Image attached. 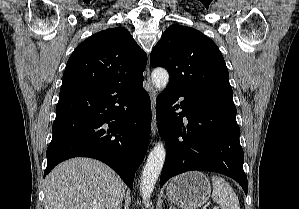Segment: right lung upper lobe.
Wrapping results in <instances>:
<instances>
[{
  "instance_id": "cb5924a9",
  "label": "right lung upper lobe",
  "mask_w": 299,
  "mask_h": 209,
  "mask_svg": "<svg viewBox=\"0 0 299 209\" xmlns=\"http://www.w3.org/2000/svg\"><path fill=\"white\" fill-rule=\"evenodd\" d=\"M146 63V53L126 29H106L77 46L67 62L61 89L110 82L135 86L143 82Z\"/></svg>"
}]
</instances>
